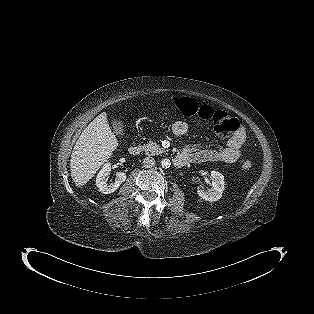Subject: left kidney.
I'll use <instances>...</instances> for the list:
<instances>
[{"label":"left kidney","mask_w":314,"mask_h":314,"mask_svg":"<svg viewBox=\"0 0 314 314\" xmlns=\"http://www.w3.org/2000/svg\"><path fill=\"white\" fill-rule=\"evenodd\" d=\"M213 177L212 187L206 191L198 190L197 194L205 201H218L222 197L225 187L224 176L218 171H211Z\"/></svg>","instance_id":"obj_1"}]
</instances>
